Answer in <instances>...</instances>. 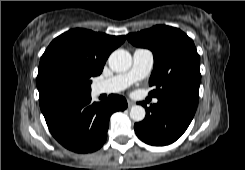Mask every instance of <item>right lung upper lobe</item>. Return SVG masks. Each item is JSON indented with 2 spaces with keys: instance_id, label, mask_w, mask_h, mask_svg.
Instances as JSON below:
<instances>
[{
  "instance_id": "cb5924a9",
  "label": "right lung upper lobe",
  "mask_w": 245,
  "mask_h": 170,
  "mask_svg": "<svg viewBox=\"0 0 245 170\" xmlns=\"http://www.w3.org/2000/svg\"><path fill=\"white\" fill-rule=\"evenodd\" d=\"M125 41V36H110L86 29L69 30L55 38L40 59L37 87L44 117L68 102L50 95L48 79L57 73L90 81L99 75L110 53Z\"/></svg>"
}]
</instances>
